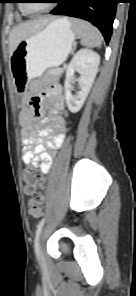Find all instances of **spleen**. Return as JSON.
Wrapping results in <instances>:
<instances>
[{
	"instance_id": "obj_1",
	"label": "spleen",
	"mask_w": 136,
	"mask_h": 296,
	"mask_svg": "<svg viewBox=\"0 0 136 296\" xmlns=\"http://www.w3.org/2000/svg\"><path fill=\"white\" fill-rule=\"evenodd\" d=\"M71 25L81 44L87 47H101L102 35L96 27L81 19H72Z\"/></svg>"
}]
</instances>
